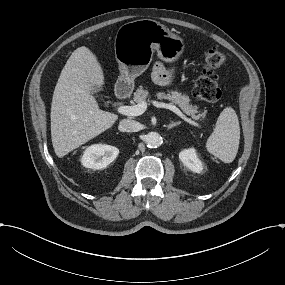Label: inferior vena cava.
I'll return each instance as SVG.
<instances>
[{"instance_id": "602c4592", "label": "inferior vena cava", "mask_w": 285, "mask_h": 285, "mask_svg": "<svg viewBox=\"0 0 285 285\" xmlns=\"http://www.w3.org/2000/svg\"><path fill=\"white\" fill-rule=\"evenodd\" d=\"M140 128V123L134 120L122 119L119 122V130L123 132H137Z\"/></svg>"}]
</instances>
